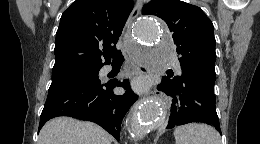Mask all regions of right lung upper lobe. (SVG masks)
Segmentation results:
<instances>
[{
	"mask_svg": "<svg viewBox=\"0 0 260 144\" xmlns=\"http://www.w3.org/2000/svg\"><path fill=\"white\" fill-rule=\"evenodd\" d=\"M132 9V0H76L60 19L53 71L109 62Z\"/></svg>",
	"mask_w": 260,
	"mask_h": 144,
	"instance_id": "obj_1",
	"label": "right lung upper lobe"
}]
</instances>
